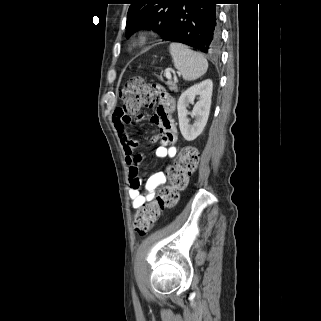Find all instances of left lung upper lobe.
<instances>
[{"label":"left lung upper lobe","mask_w":321,"mask_h":321,"mask_svg":"<svg viewBox=\"0 0 321 321\" xmlns=\"http://www.w3.org/2000/svg\"><path fill=\"white\" fill-rule=\"evenodd\" d=\"M179 0H130L126 37L140 29H152L162 39Z\"/></svg>","instance_id":"5c2ea615"}]
</instances>
